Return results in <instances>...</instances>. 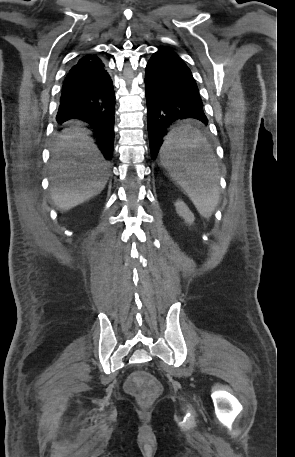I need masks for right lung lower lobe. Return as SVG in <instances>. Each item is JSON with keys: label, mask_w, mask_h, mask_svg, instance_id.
<instances>
[{"label": "right lung lower lobe", "mask_w": 295, "mask_h": 457, "mask_svg": "<svg viewBox=\"0 0 295 457\" xmlns=\"http://www.w3.org/2000/svg\"><path fill=\"white\" fill-rule=\"evenodd\" d=\"M115 95L112 80L96 54H84L71 67L62 86L56 120L81 119L96 132V144L107 160L114 143Z\"/></svg>", "instance_id": "obj_1"}]
</instances>
